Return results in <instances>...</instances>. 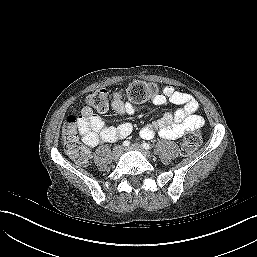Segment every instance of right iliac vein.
<instances>
[{"mask_svg": "<svg viewBox=\"0 0 257 257\" xmlns=\"http://www.w3.org/2000/svg\"><path fill=\"white\" fill-rule=\"evenodd\" d=\"M123 153V148L122 146H116L114 147L113 151H112V155H113V158L115 160L119 159L121 157Z\"/></svg>", "mask_w": 257, "mask_h": 257, "instance_id": "obj_1", "label": "right iliac vein"}]
</instances>
